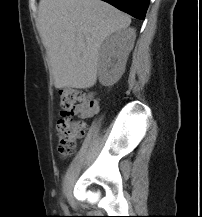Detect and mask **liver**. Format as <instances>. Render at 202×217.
I'll return each instance as SVG.
<instances>
[{
	"instance_id": "liver-1",
	"label": "liver",
	"mask_w": 202,
	"mask_h": 217,
	"mask_svg": "<svg viewBox=\"0 0 202 217\" xmlns=\"http://www.w3.org/2000/svg\"><path fill=\"white\" fill-rule=\"evenodd\" d=\"M131 18L101 0H40L36 21L56 88L86 89L97 80L99 51Z\"/></svg>"
}]
</instances>
